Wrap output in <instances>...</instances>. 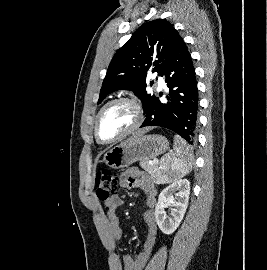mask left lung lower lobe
Returning <instances> with one entry per match:
<instances>
[{"label": "left lung lower lobe", "mask_w": 267, "mask_h": 270, "mask_svg": "<svg viewBox=\"0 0 267 270\" xmlns=\"http://www.w3.org/2000/svg\"><path fill=\"white\" fill-rule=\"evenodd\" d=\"M164 75L169 88L167 102L161 103L155 97L140 127L167 128L193 146L196 142L199 99L195 69L183 39L177 45Z\"/></svg>", "instance_id": "left-lung-lower-lobe-1"}]
</instances>
